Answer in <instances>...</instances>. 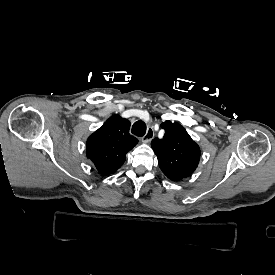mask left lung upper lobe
<instances>
[{
  "mask_svg": "<svg viewBox=\"0 0 275 275\" xmlns=\"http://www.w3.org/2000/svg\"><path fill=\"white\" fill-rule=\"evenodd\" d=\"M161 127L165 130L163 138L151 142L160 169L174 181L190 176L200 160L199 146L182 125L165 121Z\"/></svg>",
  "mask_w": 275,
  "mask_h": 275,
  "instance_id": "1",
  "label": "left lung upper lobe"
}]
</instances>
